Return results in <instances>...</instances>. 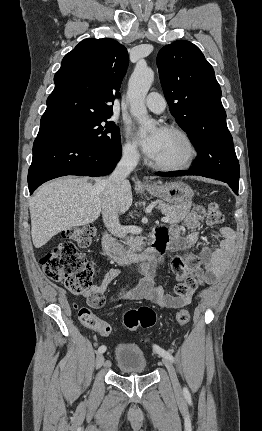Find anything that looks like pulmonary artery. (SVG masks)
<instances>
[{"label":"pulmonary artery","instance_id":"obj_1","mask_svg":"<svg viewBox=\"0 0 262 431\" xmlns=\"http://www.w3.org/2000/svg\"><path fill=\"white\" fill-rule=\"evenodd\" d=\"M145 105L149 110L155 113H161L165 110L166 101L161 94L151 92L145 100Z\"/></svg>","mask_w":262,"mask_h":431}]
</instances>
